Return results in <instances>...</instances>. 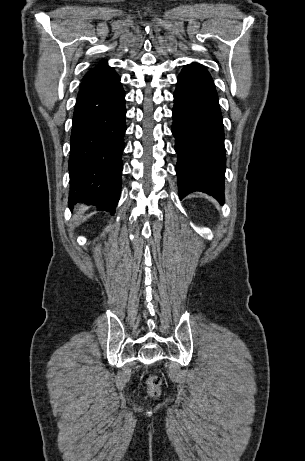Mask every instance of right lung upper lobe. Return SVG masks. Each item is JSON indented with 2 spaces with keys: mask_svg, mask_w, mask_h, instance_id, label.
Instances as JSON below:
<instances>
[{
  "mask_svg": "<svg viewBox=\"0 0 305 461\" xmlns=\"http://www.w3.org/2000/svg\"><path fill=\"white\" fill-rule=\"evenodd\" d=\"M113 73H115L114 69L109 67L106 61H102L97 66L90 69L89 72L84 76L83 80L105 77Z\"/></svg>",
  "mask_w": 305,
  "mask_h": 461,
  "instance_id": "1",
  "label": "right lung upper lobe"
}]
</instances>
